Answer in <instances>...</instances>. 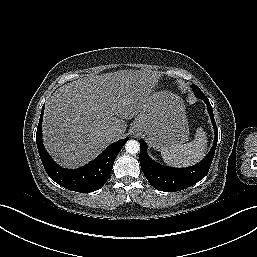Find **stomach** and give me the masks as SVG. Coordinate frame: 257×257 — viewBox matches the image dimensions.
Instances as JSON below:
<instances>
[{
	"instance_id": "stomach-1",
	"label": "stomach",
	"mask_w": 257,
	"mask_h": 257,
	"mask_svg": "<svg viewBox=\"0 0 257 257\" xmlns=\"http://www.w3.org/2000/svg\"><path fill=\"white\" fill-rule=\"evenodd\" d=\"M133 130L145 132L157 150L184 143L189 127L182 99L169 91L154 92L135 118Z\"/></svg>"
}]
</instances>
